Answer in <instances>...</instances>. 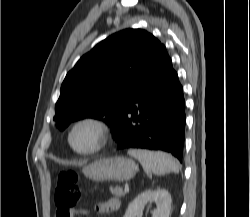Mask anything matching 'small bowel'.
I'll list each match as a JSON object with an SVG mask.
<instances>
[{
	"mask_svg": "<svg viewBox=\"0 0 250 217\" xmlns=\"http://www.w3.org/2000/svg\"><path fill=\"white\" fill-rule=\"evenodd\" d=\"M120 208V201L117 198H111L105 202L97 205V211L101 214H110L118 211ZM86 211L83 209L74 210V215L85 214Z\"/></svg>",
	"mask_w": 250,
	"mask_h": 217,
	"instance_id": "obj_1",
	"label": "small bowel"
}]
</instances>
